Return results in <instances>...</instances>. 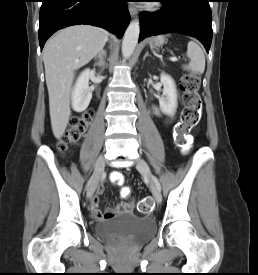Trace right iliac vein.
Masks as SVG:
<instances>
[{
    "instance_id": "obj_1",
    "label": "right iliac vein",
    "mask_w": 258,
    "mask_h": 275,
    "mask_svg": "<svg viewBox=\"0 0 258 275\" xmlns=\"http://www.w3.org/2000/svg\"><path fill=\"white\" fill-rule=\"evenodd\" d=\"M104 166H105L104 156H99V158L97 159V161L95 163L93 176L89 183V187L87 190V198H90L93 195L95 187L98 183L99 176L101 175V173L104 169Z\"/></svg>"
}]
</instances>
